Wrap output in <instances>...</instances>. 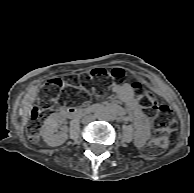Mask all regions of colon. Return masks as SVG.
I'll return each mask as SVG.
<instances>
[{"label":"colon","mask_w":194,"mask_h":193,"mask_svg":"<svg viewBox=\"0 0 194 193\" xmlns=\"http://www.w3.org/2000/svg\"><path fill=\"white\" fill-rule=\"evenodd\" d=\"M127 72L122 67L94 68L81 76L70 75L62 80L51 78L45 83L36 106L32 109L28 125L30 139L37 140L44 119L54 112L59 105H66L71 98L83 95L90 97L94 92L82 84L94 80L97 83L95 93L99 94L101 88L107 85V80H121ZM132 87L136 90L142 88L140 82L135 81ZM66 89V90H65ZM139 105L145 110L150 118H158L160 122L156 125L153 138L144 148L148 156L159 155L173 140L176 128L172 120V111L166 104L159 103L152 95L144 94L137 98Z\"/></svg>","instance_id":"5ec220e1"}]
</instances>
